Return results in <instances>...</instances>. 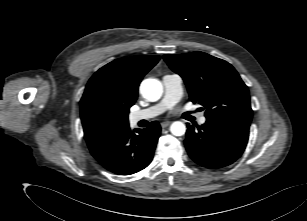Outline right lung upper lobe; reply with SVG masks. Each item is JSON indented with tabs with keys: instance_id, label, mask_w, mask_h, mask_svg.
Wrapping results in <instances>:
<instances>
[{
	"instance_id": "cb5924a9",
	"label": "right lung upper lobe",
	"mask_w": 307,
	"mask_h": 221,
	"mask_svg": "<svg viewBox=\"0 0 307 221\" xmlns=\"http://www.w3.org/2000/svg\"><path fill=\"white\" fill-rule=\"evenodd\" d=\"M160 56H133L114 60L88 81L80 101L84 137L91 152L129 128V108L137 99L143 76Z\"/></svg>"
}]
</instances>
